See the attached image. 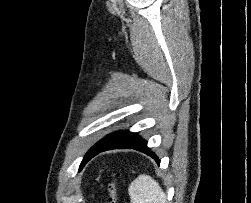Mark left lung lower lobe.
<instances>
[{"mask_svg": "<svg viewBox=\"0 0 251 203\" xmlns=\"http://www.w3.org/2000/svg\"><path fill=\"white\" fill-rule=\"evenodd\" d=\"M112 149H135L140 152H143L152 158L155 159L157 164H160V160L155 155L154 152H152L148 147L145 140H143L138 134L132 133L129 131H122L119 134H117L115 137H113L110 141L107 143L101 145L98 147L94 152H92L85 160L84 163L81 165L83 167L85 163H87L91 158H93L95 155Z\"/></svg>", "mask_w": 251, "mask_h": 203, "instance_id": "1", "label": "left lung lower lobe"}]
</instances>
